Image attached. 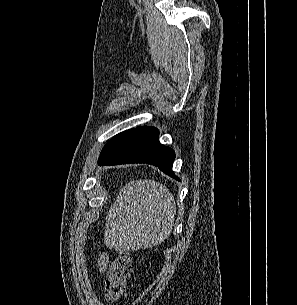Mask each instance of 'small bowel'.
I'll list each match as a JSON object with an SVG mask.
<instances>
[{
  "instance_id": "c3829d8e",
  "label": "small bowel",
  "mask_w": 297,
  "mask_h": 305,
  "mask_svg": "<svg viewBox=\"0 0 297 305\" xmlns=\"http://www.w3.org/2000/svg\"><path fill=\"white\" fill-rule=\"evenodd\" d=\"M107 263H108V257L107 255L105 254H101L99 257H98V266L100 268L101 271H104L106 266H107Z\"/></svg>"
}]
</instances>
